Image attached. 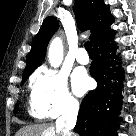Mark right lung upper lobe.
Returning a JSON list of instances; mask_svg holds the SVG:
<instances>
[{"mask_svg":"<svg viewBox=\"0 0 136 136\" xmlns=\"http://www.w3.org/2000/svg\"><path fill=\"white\" fill-rule=\"evenodd\" d=\"M74 11L78 27L82 31L91 30L89 39L94 46L102 40L114 36V31L110 29L114 17L108 13L109 6L105 5L103 0H77ZM57 28L58 21L54 17L49 16L43 21L29 52L23 78L30 75L41 64L48 42Z\"/></svg>","mask_w":136,"mask_h":136,"instance_id":"1","label":"right lung upper lobe"}]
</instances>
